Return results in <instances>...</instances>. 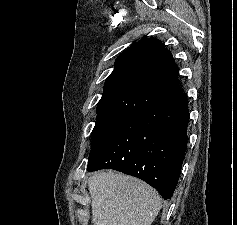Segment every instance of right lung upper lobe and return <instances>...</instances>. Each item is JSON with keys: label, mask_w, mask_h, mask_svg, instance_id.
<instances>
[{"label": "right lung upper lobe", "mask_w": 237, "mask_h": 225, "mask_svg": "<svg viewBox=\"0 0 237 225\" xmlns=\"http://www.w3.org/2000/svg\"><path fill=\"white\" fill-rule=\"evenodd\" d=\"M181 93L178 67L170 51L160 40L144 38L117 58L113 72L105 81L96 120L127 122Z\"/></svg>", "instance_id": "1"}]
</instances>
